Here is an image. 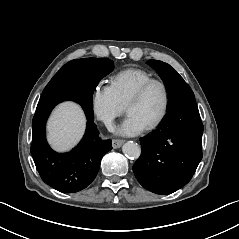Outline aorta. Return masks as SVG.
<instances>
[{
	"label": "aorta",
	"instance_id": "1",
	"mask_svg": "<svg viewBox=\"0 0 239 239\" xmlns=\"http://www.w3.org/2000/svg\"><path fill=\"white\" fill-rule=\"evenodd\" d=\"M123 153L128 157L138 158L141 153V148L137 143L126 142L122 147Z\"/></svg>",
	"mask_w": 239,
	"mask_h": 239
}]
</instances>
